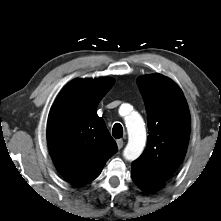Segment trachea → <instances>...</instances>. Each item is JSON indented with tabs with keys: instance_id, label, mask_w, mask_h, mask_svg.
I'll return each instance as SVG.
<instances>
[{
	"instance_id": "1",
	"label": "trachea",
	"mask_w": 221,
	"mask_h": 221,
	"mask_svg": "<svg viewBox=\"0 0 221 221\" xmlns=\"http://www.w3.org/2000/svg\"><path fill=\"white\" fill-rule=\"evenodd\" d=\"M112 135L116 139L123 137V128L121 124L119 123L114 124L113 129H112Z\"/></svg>"
}]
</instances>
